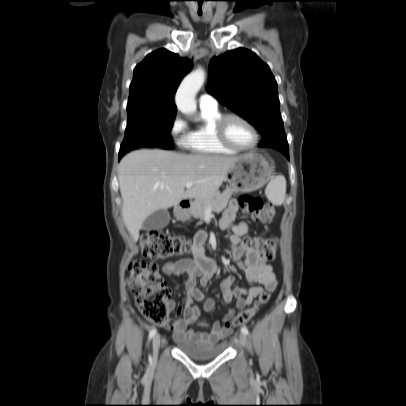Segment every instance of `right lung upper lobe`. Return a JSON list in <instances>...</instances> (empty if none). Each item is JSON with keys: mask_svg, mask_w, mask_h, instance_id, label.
<instances>
[{"mask_svg": "<svg viewBox=\"0 0 406 406\" xmlns=\"http://www.w3.org/2000/svg\"><path fill=\"white\" fill-rule=\"evenodd\" d=\"M191 68L188 58H181L166 49L148 54L134 69L127 111L176 114L174 94Z\"/></svg>", "mask_w": 406, "mask_h": 406, "instance_id": "right-lung-upper-lobe-1", "label": "right lung upper lobe"}]
</instances>
